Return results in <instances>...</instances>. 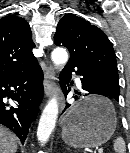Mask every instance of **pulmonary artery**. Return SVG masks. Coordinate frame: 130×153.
<instances>
[{"label":"pulmonary artery","mask_w":130,"mask_h":153,"mask_svg":"<svg viewBox=\"0 0 130 153\" xmlns=\"http://www.w3.org/2000/svg\"><path fill=\"white\" fill-rule=\"evenodd\" d=\"M76 83H77V85H78V86H80V85H81V82H80V80H79V79H77V80H76Z\"/></svg>","instance_id":"obj_1"}]
</instances>
